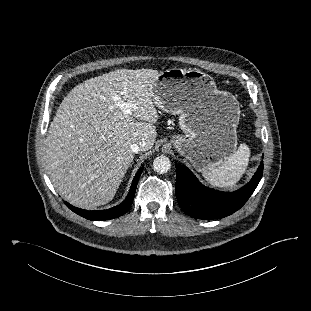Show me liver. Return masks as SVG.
<instances>
[{"instance_id": "1", "label": "liver", "mask_w": 311, "mask_h": 311, "mask_svg": "<svg viewBox=\"0 0 311 311\" xmlns=\"http://www.w3.org/2000/svg\"><path fill=\"white\" fill-rule=\"evenodd\" d=\"M154 69H117L75 86L61 102L46 138V166L69 203L94 209L110 202L132 164L133 143L150 150L158 120L151 85ZM119 95L132 113L115 104ZM135 119H137L135 121Z\"/></svg>"}]
</instances>
